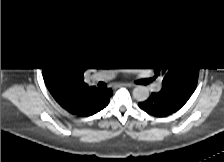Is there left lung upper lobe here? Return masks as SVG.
Wrapping results in <instances>:
<instances>
[{
	"instance_id": "1",
	"label": "left lung upper lobe",
	"mask_w": 224,
	"mask_h": 162,
	"mask_svg": "<svg viewBox=\"0 0 224 162\" xmlns=\"http://www.w3.org/2000/svg\"><path fill=\"white\" fill-rule=\"evenodd\" d=\"M155 73L164 76L161 91L191 96L197 85L199 66L197 61L169 51L155 67Z\"/></svg>"
}]
</instances>
